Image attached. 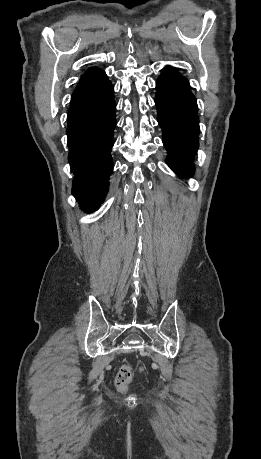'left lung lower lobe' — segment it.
I'll use <instances>...</instances> for the list:
<instances>
[{
    "mask_svg": "<svg viewBox=\"0 0 261 459\" xmlns=\"http://www.w3.org/2000/svg\"><path fill=\"white\" fill-rule=\"evenodd\" d=\"M155 104L168 151L167 164L180 176H192L199 145L198 107L188 80L173 67H165L156 81Z\"/></svg>",
    "mask_w": 261,
    "mask_h": 459,
    "instance_id": "obj_1",
    "label": "left lung lower lobe"
}]
</instances>
